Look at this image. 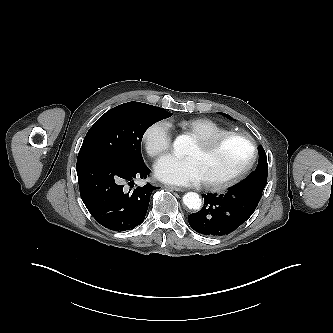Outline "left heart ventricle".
Listing matches in <instances>:
<instances>
[{
  "mask_svg": "<svg viewBox=\"0 0 333 333\" xmlns=\"http://www.w3.org/2000/svg\"><path fill=\"white\" fill-rule=\"evenodd\" d=\"M201 171L203 181H220L236 173L247 161L248 148L239 139H230L211 151H203L195 142L186 153Z\"/></svg>",
  "mask_w": 333,
  "mask_h": 333,
  "instance_id": "b2bd125f",
  "label": "left heart ventricle"
}]
</instances>
